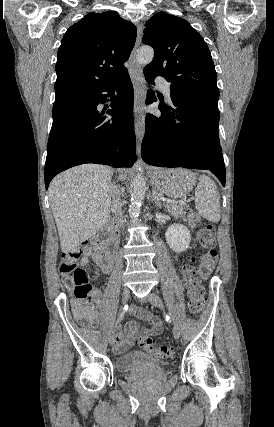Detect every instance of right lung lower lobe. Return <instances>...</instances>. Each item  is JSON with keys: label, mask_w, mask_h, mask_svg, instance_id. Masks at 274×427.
<instances>
[{"label": "right lung lower lobe", "mask_w": 274, "mask_h": 427, "mask_svg": "<svg viewBox=\"0 0 274 427\" xmlns=\"http://www.w3.org/2000/svg\"><path fill=\"white\" fill-rule=\"evenodd\" d=\"M115 90L117 96L114 95ZM112 96L111 119L97 109ZM109 96V95H108ZM133 87L129 75L116 84L62 104H54L45 163L46 189L59 172L83 163L131 167L136 161Z\"/></svg>", "instance_id": "1"}]
</instances>
